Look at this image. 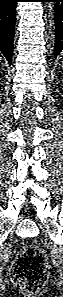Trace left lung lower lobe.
<instances>
[{"label":"left lung lower lobe","instance_id":"obj_1","mask_svg":"<svg viewBox=\"0 0 63 297\" xmlns=\"http://www.w3.org/2000/svg\"><path fill=\"white\" fill-rule=\"evenodd\" d=\"M56 2L55 5V58L63 51V0H46Z\"/></svg>","mask_w":63,"mask_h":297}]
</instances>
